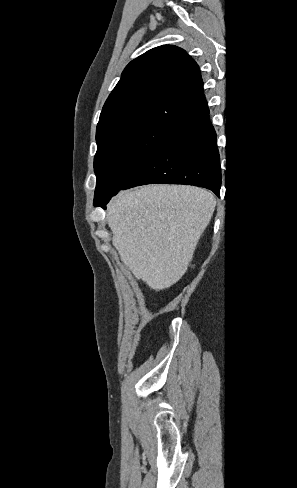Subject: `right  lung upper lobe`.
Segmentation results:
<instances>
[{
    "label": "right lung upper lobe",
    "mask_w": 297,
    "mask_h": 488,
    "mask_svg": "<svg viewBox=\"0 0 297 488\" xmlns=\"http://www.w3.org/2000/svg\"><path fill=\"white\" fill-rule=\"evenodd\" d=\"M207 110L197 63L181 48L159 46L124 69L103 106L96 142L136 127L172 130Z\"/></svg>",
    "instance_id": "obj_1"
}]
</instances>
